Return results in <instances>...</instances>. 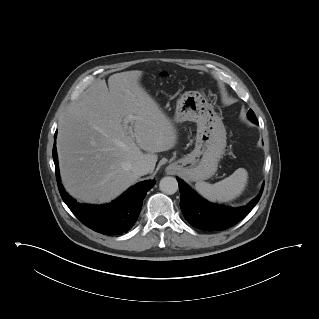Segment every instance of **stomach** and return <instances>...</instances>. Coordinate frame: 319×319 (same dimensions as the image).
I'll return each mask as SVG.
<instances>
[{
    "label": "stomach",
    "instance_id": "obj_1",
    "mask_svg": "<svg viewBox=\"0 0 319 319\" xmlns=\"http://www.w3.org/2000/svg\"><path fill=\"white\" fill-rule=\"evenodd\" d=\"M176 123L192 121L197 124L194 150L168 166L189 181H203L217 171L226 147V130L222 118L198 91H187L177 101Z\"/></svg>",
    "mask_w": 319,
    "mask_h": 319
}]
</instances>
